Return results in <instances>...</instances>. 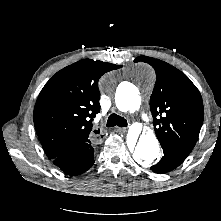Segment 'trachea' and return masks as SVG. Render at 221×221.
Segmentation results:
<instances>
[{"instance_id":"3493384b","label":"trachea","mask_w":221,"mask_h":221,"mask_svg":"<svg viewBox=\"0 0 221 221\" xmlns=\"http://www.w3.org/2000/svg\"><path fill=\"white\" fill-rule=\"evenodd\" d=\"M116 125L119 126V127H126L127 126V120L124 119L123 117L113 113L108 117L106 126L107 127H114Z\"/></svg>"}]
</instances>
